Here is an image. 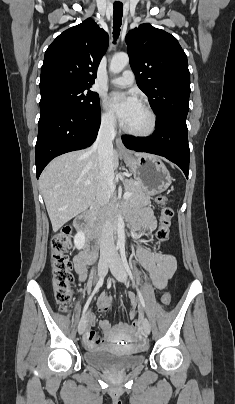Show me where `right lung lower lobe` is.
Returning <instances> with one entry per match:
<instances>
[{
    "instance_id": "obj_1",
    "label": "right lung lower lobe",
    "mask_w": 235,
    "mask_h": 404,
    "mask_svg": "<svg viewBox=\"0 0 235 404\" xmlns=\"http://www.w3.org/2000/svg\"><path fill=\"white\" fill-rule=\"evenodd\" d=\"M100 122V107L85 114L56 108L40 111L35 147L37 178L56 156L90 146L96 139Z\"/></svg>"
}]
</instances>
